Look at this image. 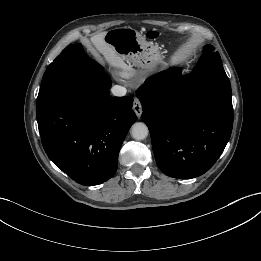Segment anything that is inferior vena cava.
Segmentation results:
<instances>
[{"label":"inferior vena cava","mask_w":261,"mask_h":261,"mask_svg":"<svg viewBox=\"0 0 261 261\" xmlns=\"http://www.w3.org/2000/svg\"><path fill=\"white\" fill-rule=\"evenodd\" d=\"M111 92L114 96L122 97L125 96L127 93V90L125 87L120 85H114L111 89Z\"/></svg>","instance_id":"obj_1"}]
</instances>
